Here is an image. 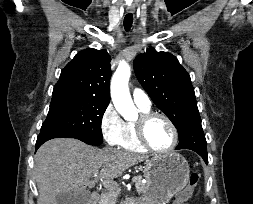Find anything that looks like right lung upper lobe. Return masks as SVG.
Segmentation results:
<instances>
[{"instance_id": "cb5924a9", "label": "right lung upper lobe", "mask_w": 253, "mask_h": 204, "mask_svg": "<svg viewBox=\"0 0 253 204\" xmlns=\"http://www.w3.org/2000/svg\"><path fill=\"white\" fill-rule=\"evenodd\" d=\"M111 58L104 50L78 52L62 70L54 89H71L95 100L110 102Z\"/></svg>"}]
</instances>
